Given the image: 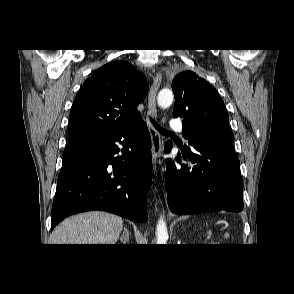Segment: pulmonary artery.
<instances>
[{
  "label": "pulmonary artery",
  "instance_id": "pulmonary-artery-1",
  "mask_svg": "<svg viewBox=\"0 0 294 294\" xmlns=\"http://www.w3.org/2000/svg\"><path fill=\"white\" fill-rule=\"evenodd\" d=\"M171 128L175 131L181 132L183 130V125L181 121L174 119L171 122Z\"/></svg>",
  "mask_w": 294,
  "mask_h": 294
}]
</instances>
